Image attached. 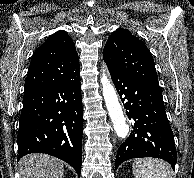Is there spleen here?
<instances>
[{"label": "spleen", "instance_id": "obj_1", "mask_svg": "<svg viewBox=\"0 0 194 178\" xmlns=\"http://www.w3.org/2000/svg\"><path fill=\"white\" fill-rule=\"evenodd\" d=\"M132 170L135 178H172L171 166L160 159H136Z\"/></svg>", "mask_w": 194, "mask_h": 178}]
</instances>
